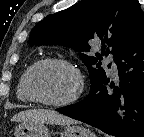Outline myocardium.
<instances>
[{
    "label": "myocardium",
    "mask_w": 144,
    "mask_h": 137,
    "mask_svg": "<svg viewBox=\"0 0 144 137\" xmlns=\"http://www.w3.org/2000/svg\"><path fill=\"white\" fill-rule=\"evenodd\" d=\"M49 64L64 66L70 69L75 74L77 78V83H78L77 89L74 92V94L68 99L62 100V101H49V100L40 98L34 93L32 89V77H33L34 72L41 66L49 65ZM24 87H25V91L28 97L33 102H36L45 106H50V107H66V106L74 104L81 97L83 90H84V79H83L80 69L76 65H74L72 62L64 60V59H60V58H45V59H41L35 62L33 65H31L28 68Z\"/></svg>",
    "instance_id": "1"
}]
</instances>
